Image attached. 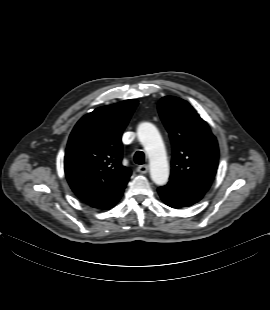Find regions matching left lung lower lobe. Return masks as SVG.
<instances>
[{
	"instance_id": "1",
	"label": "left lung lower lobe",
	"mask_w": 270,
	"mask_h": 310,
	"mask_svg": "<svg viewBox=\"0 0 270 310\" xmlns=\"http://www.w3.org/2000/svg\"><path fill=\"white\" fill-rule=\"evenodd\" d=\"M207 190L181 185L173 181H169L167 185L158 188L161 199L172 208H183L197 203Z\"/></svg>"
}]
</instances>
